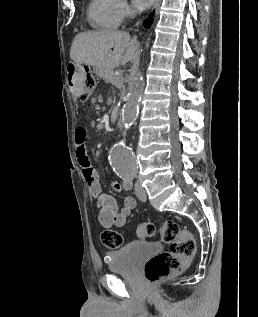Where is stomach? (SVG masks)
<instances>
[{"instance_id":"0dacf381","label":"stomach","mask_w":258,"mask_h":317,"mask_svg":"<svg viewBox=\"0 0 258 317\" xmlns=\"http://www.w3.org/2000/svg\"><path fill=\"white\" fill-rule=\"evenodd\" d=\"M73 66H74L75 70H77V68H79V70H82V68H85V66H82V64H77V62H76V64H73Z\"/></svg>"}]
</instances>
